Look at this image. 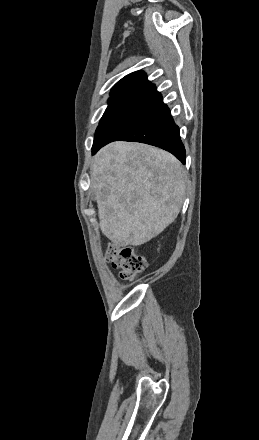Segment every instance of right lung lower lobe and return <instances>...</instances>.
Here are the masks:
<instances>
[{"instance_id":"1","label":"right lung lower lobe","mask_w":259,"mask_h":440,"mask_svg":"<svg viewBox=\"0 0 259 440\" xmlns=\"http://www.w3.org/2000/svg\"><path fill=\"white\" fill-rule=\"evenodd\" d=\"M135 141L150 144L169 151L183 164L186 152L181 142L179 127L170 110L163 103L162 95L154 87L142 101L103 139L94 141L92 154L104 145L116 141Z\"/></svg>"}]
</instances>
